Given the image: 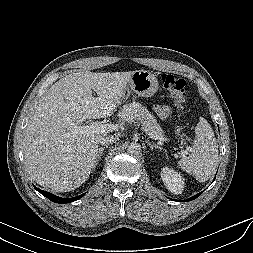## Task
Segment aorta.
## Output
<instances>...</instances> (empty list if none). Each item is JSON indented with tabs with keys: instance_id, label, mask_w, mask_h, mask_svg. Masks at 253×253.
<instances>
[{
	"instance_id": "1",
	"label": "aorta",
	"mask_w": 253,
	"mask_h": 253,
	"mask_svg": "<svg viewBox=\"0 0 253 253\" xmlns=\"http://www.w3.org/2000/svg\"><path fill=\"white\" fill-rule=\"evenodd\" d=\"M141 152L140 144L132 142L127 146V153L131 155H138Z\"/></svg>"
}]
</instances>
